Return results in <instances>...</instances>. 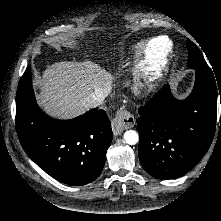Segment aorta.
<instances>
[{"mask_svg":"<svg viewBox=\"0 0 221 221\" xmlns=\"http://www.w3.org/2000/svg\"><path fill=\"white\" fill-rule=\"evenodd\" d=\"M124 141L129 145H135L139 141V135L134 130H127L124 133Z\"/></svg>","mask_w":221,"mask_h":221,"instance_id":"1","label":"aorta"}]
</instances>
